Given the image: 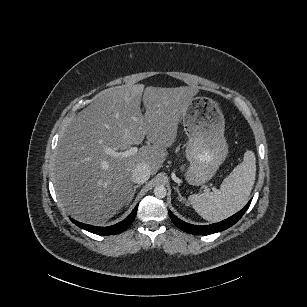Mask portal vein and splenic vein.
<instances>
[{
	"instance_id": "18ae733b",
	"label": "portal vein and splenic vein",
	"mask_w": 307,
	"mask_h": 307,
	"mask_svg": "<svg viewBox=\"0 0 307 307\" xmlns=\"http://www.w3.org/2000/svg\"><path fill=\"white\" fill-rule=\"evenodd\" d=\"M137 152H138L137 147H131L130 149H127L125 151H120V152L114 151V150L109 149V148L106 149L107 154H109L113 157H122V158L130 157L132 155H135ZM212 191L216 192L217 189L215 187H213Z\"/></svg>"
}]
</instances>
